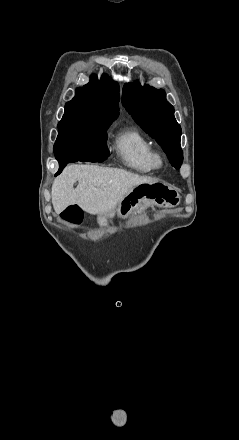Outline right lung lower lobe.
<instances>
[{"label":"right lung lower lobe","mask_w":239,"mask_h":440,"mask_svg":"<svg viewBox=\"0 0 239 440\" xmlns=\"http://www.w3.org/2000/svg\"><path fill=\"white\" fill-rule=\"evenodd\" d=\"M109 156L107 147L101 146H79L71 149L63 150L55 157L59 162V170L57 174L61 173L67 163L76 161H90L103 162Z\"/></svg>","instance_id":"right-lung-lower-lobe-1"}]
</instances>
